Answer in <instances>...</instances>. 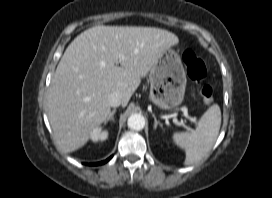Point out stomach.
Instances as JSON below:
<instances>
[{
  "instance_id": "0dacf381",
  "label": "stomach",
  "mask_w": 272,
  "mask_h": 198,
  "mask_svg": "<svg viewBox=\"0 0 272 198\" xmlns=\"http://www.w3.org/2000/svg\"><path fill=\"white\" fill-rule=\"evenodd\" d=\"M150 100L163 110H171L183 102L186 73L180 56L171 47L160 54L150 74Z\"/></svg>"
}]
</instances>
